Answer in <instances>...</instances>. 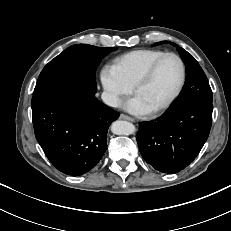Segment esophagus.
Wrapping results in <instances>:
<instances>
[{"label":"esophagus","mask_w":231,"mask_h":231,"mask_svg":"<svg viewBox=\"0 0 231 231\" xmlns=\"http://www.w3.org/2000/svg\"><path fill=\"white\" fill-rule=\"evenodd\" d=\"M119 118L123 119V120L131 121V122L134 121V118H132V117H130L128 115H125V114H121Z\"/></svg>","instance_id":"1"}]
</instances>
